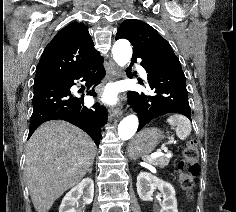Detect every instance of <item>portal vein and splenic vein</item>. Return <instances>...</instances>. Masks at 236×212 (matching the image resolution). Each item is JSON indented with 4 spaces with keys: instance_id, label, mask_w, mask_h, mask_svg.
Returning <instances> with one entry per match:
<instances>
[{
    "instance_id": "18ae733b",
    "label": "portal vein and splenic vein",
    "mask_w": 236,
    "mask_h": 212,
    "mask_svg": "<svg viewBox=\"0 0 236 212\" xmlns=\"http://www.w3.org/2000/svg\"><path fill=\"white\" fill-rule=\"evenodd\" d=\"M171 142H172V140L170 141V143H171ZM162 150H163L164 152H167V148H166V147H163L162 149H159V150H157V152L153 153V154H152V157L155 158V157H159V156L163 155Z\"/></svg>"
}]
</instances>
